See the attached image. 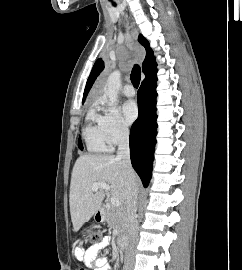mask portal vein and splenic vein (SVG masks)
<instances>
[{
  "label": "portal vein and splenic vein",
  "instance_id": "portal-vein-and-splenic-vein-1",
  "mask_svg": "<svg viewBox=\"0 0 242 270\" xmlns=\"http://www.w3.org/2000/svg\"><path fill=\"white\" fill-rule=\"evenodd\" d=\"M98 189H104L106 191H110V186L103 182H96L92 185V191L96 192ZM110 202L115 207H121V201L116 197H111Z\"/></svg>",
  "mask_w": 242,
  "mask_h": 270
}]
</instances>
